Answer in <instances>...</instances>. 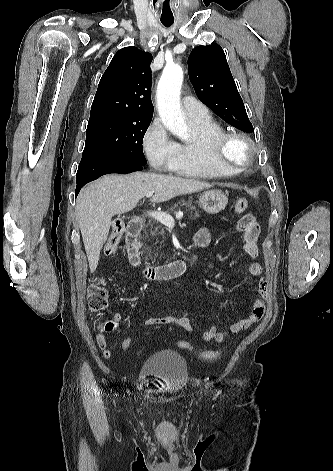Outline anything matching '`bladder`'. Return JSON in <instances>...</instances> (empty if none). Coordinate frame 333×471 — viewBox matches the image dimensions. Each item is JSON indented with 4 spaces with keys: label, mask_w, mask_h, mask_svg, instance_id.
<instances>
[{
    "label": "bladder",
    "mask_w": 333,
    "mask_h": 471,
    "mask_svg": "<svg viewBox=\"0 0 333 471\" xmlns=\"http://www.w3.org/2000/svg\"><path fill=\"white\" fill-rule=\"evenodd\" d=\"M139 374L161 380L164 384L162 392L167 394L182 391L189 378L185 359L172 350L158 351L149 356L141 365Z\"/></svg>",
    "instance_id": "1"
}]
</instances>
